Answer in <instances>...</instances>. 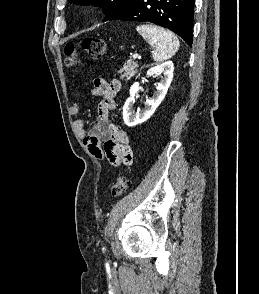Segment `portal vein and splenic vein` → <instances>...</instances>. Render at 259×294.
Instances as JSON below:
<instances>
[{
    "label": "portal vein and splenic vein",
    "instance_id": "18ae733b",
    "mask_svg": "<svg viewBox=\"0 0 259 294\" xmlns=\"http://www.w3.org/2000/svg\"><path fill=\"white\" fill-rule=\"evenodd\" d=\"M138 57H139L138 54H134V55L132 56L133 59H137Z\"/></svg>",
    "mask_w": 259,
    "mask_h": 294
}]
</instances>
